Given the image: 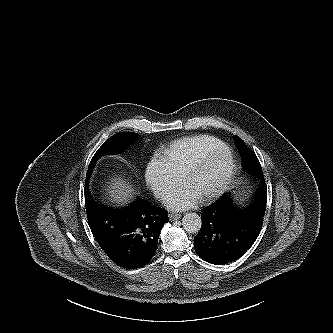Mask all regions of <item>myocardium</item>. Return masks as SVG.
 <instances>
[{
	"label": "myocardium",
	"mask_w": 333,
	"mask_h": 333,
	"mask_svg": "<svg viewBox=\"0 0 333 333\" xmlns=\"http://www.w3.org/2000/svg\"><path fill=\"white\" fill-rule=\"evenodd\" d=\"M227 158V168L220 183L210 192L201 196L203 201H210L222 195L230 186L236 173L237 161L233 149L225 144L203 154L196 159L183 173L182 181L186 184L194 175L218 156Z\"/></svg>",
	"instance_id": "obj_1"
}]
</instances>
